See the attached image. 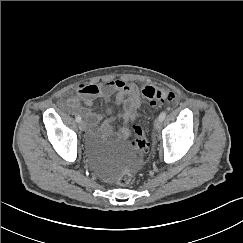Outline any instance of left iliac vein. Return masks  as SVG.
<instances>
[{"mask_svg":"<svg viewBox=\"0 0 243 243\" xmlns=\"http://www.w3.org/2000/svg\"><path fill=\"white\" fill-rule=\"evenodd\" d=\"M161 120H160V118H157L156 120H155V122H154V127H155V129L156 130H160V128H161Z\"/></svg>","mask_w":243,"mask_h":243,"instance_id":"obj_1","label":"left iliac vein"}]
</instances>
